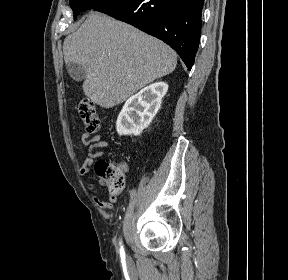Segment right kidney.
<instances>
[{
	"label": "right kidney",
	"instance_id": "obj_1",
	"mask_svg": "<svg viewBox=\"0 0 288 280\" xmlns=\"http://www.w3.org/2000/svg\"><path fill=\"white\" fill-rule=\"evenodd\" d=\"M165 82L153 83L131 96L124 104L116 122L119 135L138 136L149 126L167 93Z\"/></svg>",
	"mask_w": 288,
	"mask_h": 280
}]
</instances>
